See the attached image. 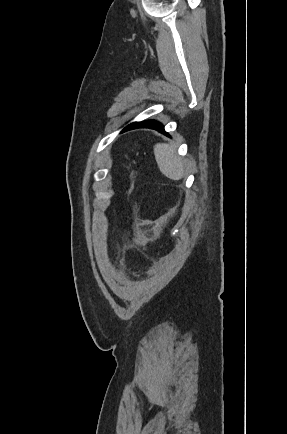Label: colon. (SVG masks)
I'll return each mask as SVG.
<instances>
[{"label": "colon", "instance_id": "1", "mask_svg": "<svg viewBox=\"0 0 287 434\" xmlns=\"http://www.w3.org/2000/svg\"><path fill=\"white\" fill-rule=\"evenodd\" d=\"M136 176V172L134 170L130 171L129 175H128V180L132 181Z\"/></svg>", "mask_w": 287, "mask_h": 434}]
</instances>
